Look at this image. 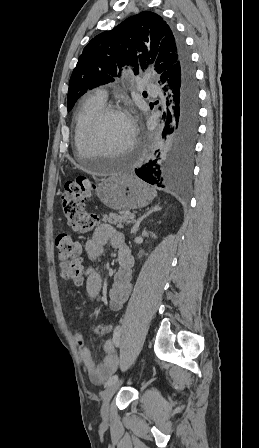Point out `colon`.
Instances as JSON below:
<instances>
[{"instance_id":"5ec220e1","label":"colon","mask_w":259,"mask_h":448,"mask_svg":"<svg viewBox=\"0 0 259 448\" xmlns=\"http://www.w3.org/2000/svg\"><path fill=\"white\" fill-rule=\"evenodd\" d=\"M95 184L84 176L66 183L61 195V210L68 226L80 233H89L96 225L97 216L86 211V201L92 196ZM61 275L73 284L82 283L81 248L67 235L56 239Z\"/></svg>"}]
</instances>
